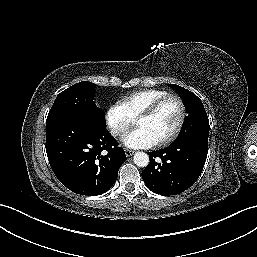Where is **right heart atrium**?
<instances>
[{"mask_svg": "<svg viewBox=\"0 0 257 257\" xmlns=\"http://www.w3.org/2000/svg\"><path fill=\"white\" fill-rule=\"evenodd\" d=\"M105 121L114 137L123 136L133 125L134 119L120 101L112 103L105 112Z\"/></svg>", "mask_w": 257, "mask_h": 257, "instance_id": "d8ad5b80", "label": "right heart atrium"}]
</instances>
